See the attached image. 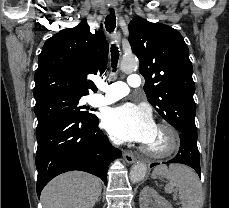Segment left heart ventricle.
<instances>
[{"instance_id":"b2bd125f","label":"left heart ventricle","mask_w":229,"mask_h":208,"mask_svg":"<svg viewBox=\"0 0 229 208\" xmlns=\"http://www.w3.org/2000/svg\"><path fill=\"white\" fill-rule=\"evenodd\" d=\"M166 130L155 128L152 136L149 138L147 142H145V146L152 149L155 152H164L171 147H166L165 138H167Z\"/></svg>"}]
</instances>
